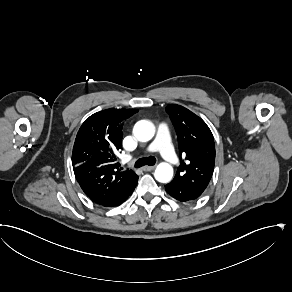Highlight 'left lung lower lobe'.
<instances>
[{
	"instance_id": "obj_1",
	"label": "left lung lower lobe",
	"mask_w": 292,
	"mask_h": 292,
	"mask_svg": "<svg viewBox=\"0 0 292 292\" xmlns=\"http://www.w3.org/2000/svg\"><path fill=\"white\" fill-rule=\"evenodd\" d=\"M165 190L170 196H172L176 200H179L180 202L196 200L202 194L199 191L182 187L178 184L173 183L172 181L169 184L165 185Z\"/></svg>"
}]
</instances>
